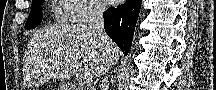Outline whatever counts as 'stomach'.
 Returning a JSON list of instances; mask_svg holds the SVG:
<instances>
[{
	"label": "stomach",
	"mask_w": 216,
	"mask_h": 90,
	"mask_svg": "<svg viewBox=\"0 0 216 90\" xmlns=\"http://www.w3.org/2000/svg\"><path fill=\"white\" fill-rule=\"evenodd\" d=\"M59 90H70V86L67 83H63L60 85Z\"/></svg>",
	"instance_id": "0dacf381"
}]
</instances>
